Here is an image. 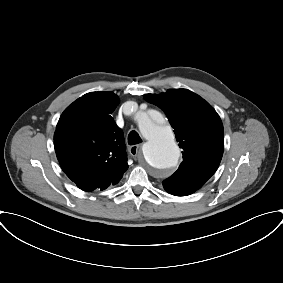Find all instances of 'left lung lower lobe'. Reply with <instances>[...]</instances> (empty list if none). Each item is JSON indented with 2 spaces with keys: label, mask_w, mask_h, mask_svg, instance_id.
<instances>
[{
  "label": "left lung lower lobe",
  "mask_w": 283,
  "mask_h": 283,
  "mask_svg": "<svg viewBox=\"0 0 283 283\" xmlns=\"http://www.w3.org/2000/svg\"><path fill=\"white\" fill-rule=\"evenodd\" d=\"M168 193L175 195V196H185L193 193L196 190H185V189H176V190H166Z\"/></svg>",
  "instance_id": "1"
}]
</instances>
